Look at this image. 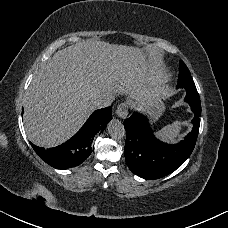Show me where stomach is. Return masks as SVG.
Listing matches in <instances>:
<instances>
[{
  "instance_id": "stomach-1",
  "label": "stomach",
  "mask_w": 228,
  "mask_h": 228,
  "mask_svg": "<svg viewBox=\"0 0 228 228\" xmlns=\"http://www.w3.org/2000/svg\"><path fill=\"white\" fill-rule=\"evenodd\" d=\"M135 105L138 108H154V110H155L154 115L155 116H158L163 110V106L160 103V101L157 103H154V104H150V105L148 103H145V102H142V103H136L135 102Z\"/></svg>"
}]
</instances>
